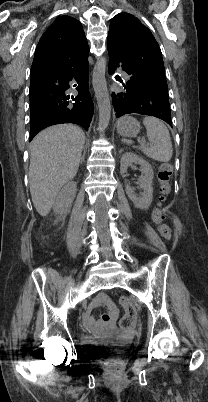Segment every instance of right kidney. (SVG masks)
<instances>
[{
    "mask_svg": "<svg viewBox=\"0 0 208 402\" xmlns=\"http://www.w3.org/2000/svg\"><path fill=\"white\" fill-rule=\"evenodd\" d=\"M76 188V182H67L66 186H63L57 198H55L53 212L58 214L56 222H60L62 218H65L69 214L76 196Z\"/></svg>",
    "mask_w": 208,
    "mask_h": 402,
    "instance_id": "right-kidney-1",
    "label": "right kidney"
}]
</instances>
